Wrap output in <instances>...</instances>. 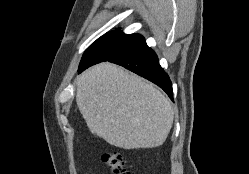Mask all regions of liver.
I'll list each match as a JSON object with an SVG mask.
<instances>
[{"mask_svg": "<svg viewBox=\"0 0 249 174\" xmlns=\"http://www.w3.org/2000/svg\"><path fill=\"white\" fill-rule=\"evenodd\" d=\"M76 103L94 134L123 149L159 147L174 119L158 89L109 62L78 76Z\"/></svg>", "mask_w": 249, "mask_h": 174, "instance_id": "1", "label": "liver"}]
</instances>
